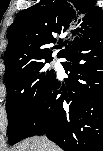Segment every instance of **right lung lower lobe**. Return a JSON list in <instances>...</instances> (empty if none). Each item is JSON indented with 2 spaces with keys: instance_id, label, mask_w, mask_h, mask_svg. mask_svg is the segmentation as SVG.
I'll return each instance as SVG.
<instances>
[{
  "instance_id": "right-lung-lower-lobe-1",
  "label": "right lung lower lobe",
  "mask_w": 103,
  "mask_h": 151,
  "mask_svg": "<svg viewBox=\"0 0 103 151\" xmlns=\"http://www.w3.org/2000/svg\"><path fill=\"white\" fill-rule=\"evenodd\" d=\"M69 78H56L20 140L46 134L65 151L93 150L102 134L103 29L79 38L64 52Z\"/></svg>"
}]
</instances>
